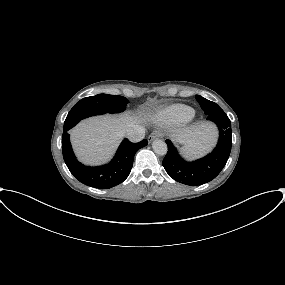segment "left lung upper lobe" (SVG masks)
<instances>
[{"label": "left lung upper lobe", "mask_w": 285, "mask_h": 285, "mask_svg": "<svg viewBox=\"0 0 285 285\" xmlns=\"http://www.w3.org/2000/svg\"><path fill=\"white\" fill-rule=\"evenodd\" d=\"M196 100L199 102L201 108L204 110V113L207 115L217 111H223L216 103L209 101L200 95H196Z\"/></svg>", "instance_id": "1"}]
</instances>
